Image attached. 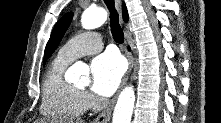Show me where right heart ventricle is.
<instances>
[{
	"label": "right heart ventricle",
	"mask_w": 221,
	"mask_h": 123,
	"mask_svg": "<svg viewBox=\"0 0 221 123\" xmlns=\"http://www.w3.org/2000/svg\"><path fill=\"white\" fill-rule=\"evenodd\" d=\"M69 63V61L57 56L44 75L40 110L47 117L55 119L77 118L87 109L84 94L63 77Z\"/></svg>",
	"instance_id": "right-heart-ventricle-1"
}]
</instances>
